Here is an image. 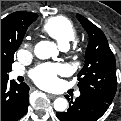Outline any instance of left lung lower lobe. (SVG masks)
Instances as JSON below:
<instances>
[{
  "mask_svg": "<svg viewBox=\"0 0 121 121\" xmlns=\"http://www.w3.org/2000/svg\"><path fill=\"white\" fill-rule=\"evenodd\" d=\"M109 105L90 95L81 94L70 102L67 112H57L56 115L60 121H96Z\"/></svg>",
  "mask_w": 121,
  "mask_h": 121,
  "instance_id": "1",
  "label": "left lung lower lobe"
}]
</instances>
